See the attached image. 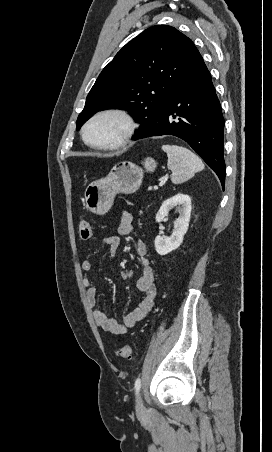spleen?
<instances>
[{"mask_svg": "<svg viewBox=\"0 0 272 452\" xmlns=\"http://www.w3.org/2000/svg\"><path fill=\"white\" fill-rule=\"evenodd\" d=\"M162 150L168 156L167 166L172 171L171 181L174 184H181L204 169L202 160L185 147L166 144Z\"/></svg>", "mask_w": 272, "mask_h": 452, "instance_id": "3e777b00", "label": "spleen"}]
</instances>
